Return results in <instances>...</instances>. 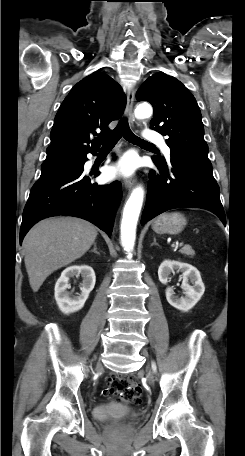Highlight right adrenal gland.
Here are the masks:
<instances>
[{"mask_svg":"<svg viewBox=\"0 0 245 456\" xmlns=\"http://www.w3.org/2000/svg\"><path fill=\"white\" fill-rule=\"evenodd\" d=\"M91 252H94V253H96V254H98V255L100 254V253L97 251V245H96V243H94V247H93V250H91Z\"/></svg>","mask_w":245,"mask_h":456,"instance_id":"right-adrenal-gland-1","label":"right adrenal gland"}]
</instances>
